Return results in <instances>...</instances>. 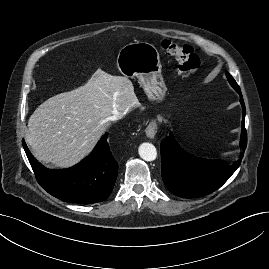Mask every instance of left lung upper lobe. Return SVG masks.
Returning <instances> with one entry per match:
<instances>
[{
    "instance_id": "left-lung-upper-lobe-1",
    "label": "left lung upper lobe",
    "mask_w": 269,
    "mask_h": 269,
    "mask_svg": "<svg viewBox=\"0 0 269 269\" xmlns=\"http://www.w3.org/2000/svg\"><path fill=\"white\" fill-rule=\"evenodd\" d=\"M227 78L229 83L231 84V86L235 89V90H240L238 84L236 83V81L234 80V78L228 73L226 72Z\"/></svg>"
}]
</instances>
